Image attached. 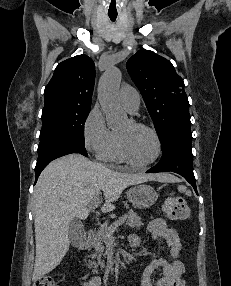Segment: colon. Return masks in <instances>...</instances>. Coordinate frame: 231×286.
<instances>
[{"mask_svg":"<svg viewBox=\"0 0 231 286\" xmlns=\"http://www.w3.org/2000/svg\"><path fill=\"white\" fill-rule=\"evenodd\" d=\"M164 212L172 220L186 221L191 218V210L186 201L179 196H168L164 202ZM34 286H58L50 276L40 277Z\"/></svg>","mask_w":231,"mask_h":286,"instance_id":"colon-1","label":"colon"}]
</instances>
